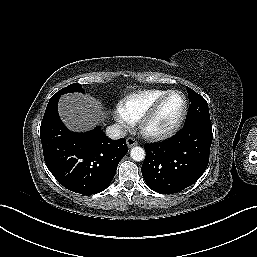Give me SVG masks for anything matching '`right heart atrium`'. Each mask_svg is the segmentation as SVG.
Here are the masks:
<instances>
[{
  "instance_id": "d8ad5b80",
  "label": "right heart atrium",
  "mask_w": 257,
  "mask_h": 257,
  "mask_svg": "<svg viewBox=\"0 0 257 257\" xmlns=\"http://www.w3.org/2000/svg\"><path fill=\"white\" fill-rule=\"evenodd\" d=\"M118 124L123 129H127L132 125V122L125 116V114L118 108L115 113Z\"/></svg>"
}]
</instances>
